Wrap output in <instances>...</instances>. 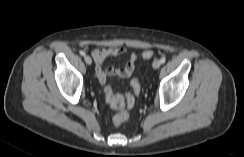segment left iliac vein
I'll return each mask as SVG.
<instances>
[{"label": "left iliac vein", "mask_w": 244, "mask_h": 157, "mask_svg": "<svg viewBox=\"0 0 244 157\" xmlns=\"http://www.w3.org/2000/svg\"><path fill=\"white\" fill-rule=\"evenodd\" d=\"M160 65H161V63H160V61H159V60H155V61L153 62V64H152V66H153V68H154V69L159 68V67H160Z\"/></svg>", "instance_id": "1"}]
</instances>
